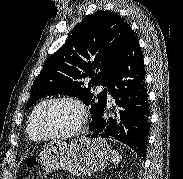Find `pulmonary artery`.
<instances>
[{
  "mask_svg": "<svg viewBox=\"0 0 183 179\" xmlns=\"http://www.w3.org/2000/svg\"><path fill=\"white\" fill-rule=\"evenodd\" d=\"M104 88H105V87L101 86V87L99 88V91L104 90ZM107 97H108V100H109V101H112V100H113L112 97H111V95H110V93H107Z\"/></svg>",
  "mask_w": 183,
  "mask_h": 179,
  "instance_id": "1",
  "label": "pulmonary artery"
}]
</instances>
